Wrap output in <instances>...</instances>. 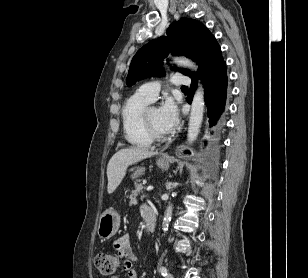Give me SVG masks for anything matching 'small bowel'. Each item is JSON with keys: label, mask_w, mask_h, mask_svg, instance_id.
<instances>
[{"label": "small bowel", "mask_w": 308, "mask_h": 278, "mask_svg": "<svg viewBox=\"0 0 308 278\" xmlns=\"http://www.w3.org/2000/svg\"><path fill=\"white\" fill-rule=\"evenodd\" d=\"M154 212V210L149 206L142 207V215L145 217L146 214ZM114 252L121 258L125 260L124 263V274L115 275L112 278H138L136 271L132 267V263L137 260V256L131 248L130 238L128 235H123L113 244Z\"/></svg>", "instance_id": "obj_1"}]
</instances>
